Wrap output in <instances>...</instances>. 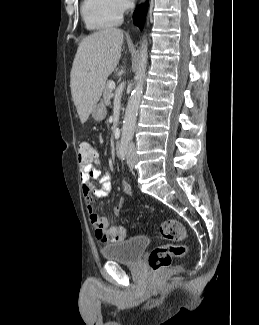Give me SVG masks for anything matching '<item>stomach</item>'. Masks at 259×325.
<instances>
[{
    "mask_svg": "<svg viewBox=\"0 0 259 325\" xmlns=\"http://www.w3.org/2000/svg\"><path fill=\"white\" fill-rule=\"evenodd\" d=\"M92 118L96 121H101L106 115V108L103 103H98L92 110Z\"/></svg>",
    "mask_w": 259,
    "mask_h": 325,
    "instance_id": "0dacf381",
    "label": "stomach"
}]
</instances>
